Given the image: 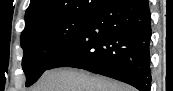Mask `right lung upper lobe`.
I'll return each mask as SVG.
<instances>
[{
    "label": "right lung upper lobe",
    "instance_id": "1",
    "mask_svg": "<svg viewBox=\"0 0 173 91\" xmlns=\"http://www.w3.org/2000/svg\"><path fill=\"white\" fill-rule=\"evenodd\" d=\"M101 1V2H100ZM105 0H31L25 28L43 20L96 11Z\"/></svg>",
    "mask_w": 173,
    "mask_h": 91
}]
</instances>
